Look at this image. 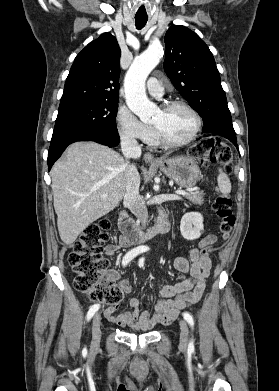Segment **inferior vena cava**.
<instances>
[{"instance_id":"602c4592","label":"inferior vena cava","mask_w":279,"mask_h":391,"mask_svg":"<svg viewBox=\"0 0 279 391\" xmlns=\"http://www.w3.org/2000/svg\"><path fill=\"white\" fill-rule=\"evenodd\" d=\"M121 148L126 159L137 158L141 156V148L136 139L129 135H123L121 138ZM126 192L124 195V204L136 216L142 227H146L148 222L147 207L139 194L140 176L133 164L126 165Z\"/></svg>"}]
</instances>
